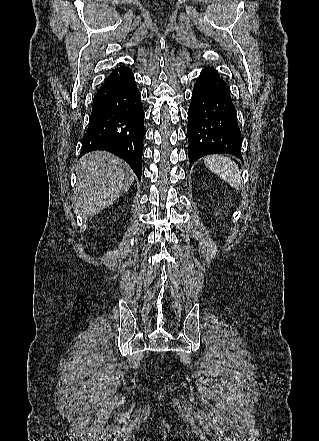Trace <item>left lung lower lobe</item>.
Returning a JSON list of instances; mask_svg holds the SVG:
<instances>
[{
  "label": "left lung lower lobe",
  "instance_id": "1",
  "mask_svg": "<svg viewBox=\"0 0 319 441\" xmlns=\"http://www.w3.org/2000/svg\"><path fill=\"white\" fill-rule=\"evenodd\" d=\"M189 168L200 157L224 153L242 158L241 133L230 88L212 68L201 71L188 110Z\"/></svg>",
  "mask_w": 319,
  "mask_h": 441
}]
</instances>
